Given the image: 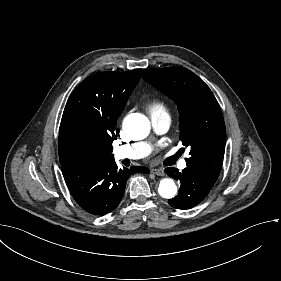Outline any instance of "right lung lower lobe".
<instances>
[{"label": "right lung lower lobe", "mask_w": 281, "mask_h": 281, "mask_svg": "<svg viewBox=\"0 0 281 281\" xmlns=\"http://www.w3.org/2000/svg\"><path fill=\"white\" fill-rule=\"evenodd\" d=\"M65 182L78 205L94 215L113 211L120 203L126 182L135 172L149 173L146 167L119 169L115 160L60 161Z\"/></svg>", "instance_id": "obj_1"}]
</instances>
